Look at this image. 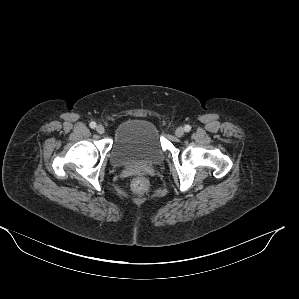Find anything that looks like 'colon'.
Wrapping results in <instances>:
<instances>
[{"instance_id": "1", "label": "colon", "mask_w": 299, "mask_h": 299, "mask_svg": "<svg viewBox=\"0 0 299 299\" xmlns=\"http://www.w3.org/2000/svg\"><path fill=\"white\" fill-rule=\"evenodd\" d=\"M131 187H132L133 191L138 193V194H146L150 190L149 181L144 176L136 177L132 181Z\"/></svg>"}]
</instances>
